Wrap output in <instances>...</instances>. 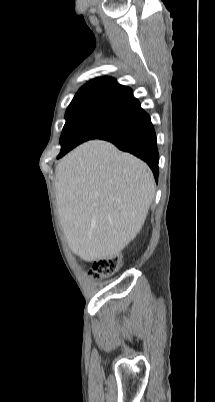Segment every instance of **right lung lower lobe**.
<instances>
[{"label":"right lung lower lobe","mask_w":215,"mask_h":402,"mask_svg":"<svg viewBox=\"0 0 215 402\" xmlns=\"http://www.w3.org/2000/svg\"><path fill=\"white\" fill-rule=\"evenodd\" d=\"M104 140L112 142L120 150L130 152L145 161L151 168L155 180L158 179L159 154L156 134L146 112L143 111L136 120L117 135Z\"/></svg>","instance_id":"98d812e1"}]
</instances>
